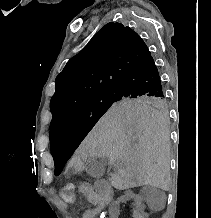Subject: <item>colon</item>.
<instances>
[{
    "label": "colon",
    "mask_w": 211,
    "mask_h": 218,
    "mask_svg": "<svg viewBox=\"0 0 211 218\" xmlns=\"http://www.w3.org/2000/svg\"><path fill=\"white\" fill-rule=\"evenodd\" d=\"M59 198L61 202L65 204L73 203L75 194H74V185L66 184L64 185L59 192Z\"/></svg>",
    "instance_id": "1"
}]
</instances>
